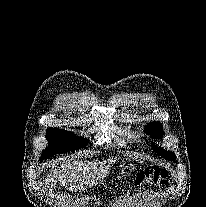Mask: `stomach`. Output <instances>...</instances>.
<instances>
[{
  "instance_id": "1",
  "label": "stomach",
  "mask_w": 206,
  "mask_h": 207,
  "mask_svg": "<svg viewBox=\"0 0 206 207\" xmlns=\"http://www.w3.org/2000/svg\"><path fill=\"white\" fill-rule=\"evenodd\" d=\"M135 170V166L134 164H124V165H121L119 170H118V175L117 177L120 178V177H127L129 175L132 174V172Z\"/></svg>"
}]
</instances>
